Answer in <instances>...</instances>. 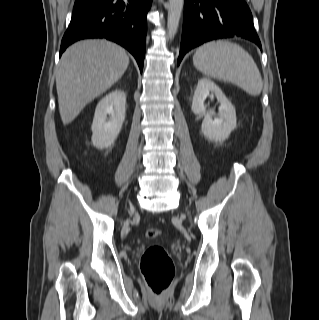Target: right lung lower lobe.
Here are the masks:
<instances>
[{
  "mask_svg": "<svg viewBox=\"0 0 319 320\" xmlns=\"http://www.w3.org/2000/svg\"><path fill=\"white\" fill-rule=\"evenodd\" d=\"M151 4L152 0H76L60 56L80 39L107 38L131 52L142 72Z\"/></svg>",
  "mask_w": 319,
  "mask_h": 320,
  "instance_id": "right-lung-lower-lobe-1",
  "label": "right lung lower lobe"
}]
</instances>
